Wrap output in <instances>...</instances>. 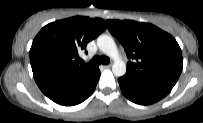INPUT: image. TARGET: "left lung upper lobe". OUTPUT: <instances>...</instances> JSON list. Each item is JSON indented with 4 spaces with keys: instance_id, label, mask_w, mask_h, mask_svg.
I'll use <instances>...</instances> for the list:
<instances>
[{
    "instance_id": "1",
    "label": "left lung upper lobe",
    "mask_w": 203,
    "mask_h": 123,
    "mask_svg": "<svg viewBox=\"0 0 203 123\" xmlns=\"http://www.w3.org/2000/svg\"><path fill=\"white\" fill-rule=\"evenodd\" d=\"M109 31L122 43L127 57V75L171 88L183 67L181 49L168 33L149 23L107 20Z\"/></svg>"
}]
</instances>
